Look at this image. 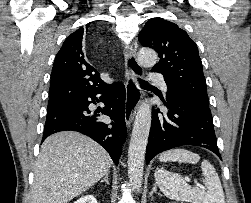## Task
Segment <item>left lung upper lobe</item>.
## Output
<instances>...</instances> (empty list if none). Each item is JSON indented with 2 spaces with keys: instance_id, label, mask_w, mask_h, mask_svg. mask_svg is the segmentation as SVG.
<instances>
[{
  "instance_id": "1",
  "label": "left lung upper lobe",
  "mask_w": 251,
  "mask_h": 203,
  "mask_svg": "<svg viewBox=\"0 0 251 203\" xmlns=\"http://www.w3.org/2000/svg\"><path fill=\"white\" fill-rule=\"evenodd\" d=\"M139 41L159 54L160 61L151 71L164 76L167 99L183 94L209 107L198 48L184 30L167 20L152 18L139 33Z\"/></svg>"
}]
</instances>
